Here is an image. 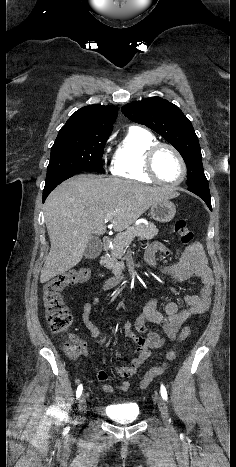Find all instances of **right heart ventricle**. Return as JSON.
I'll use <instances>...</instances> for the list:
<instances>
[{"mask_svg": "<svg viewBox=\"0 0 236 467\" xmlns=\"http://www.w3.org/2000/svg\"><path fill=\"white\" fill-rule=\"evenodd\" d=\"M156 143L158 140L150 131L138 126L130 127L115 151L112 174L144 183L153 182L145 170V156L148 148Z\"/></svg>", "mask_w": 236, "mask_h": 467, "instance_id": "e07e8e85", "label": "right heart ventricle"}]
</instances>
